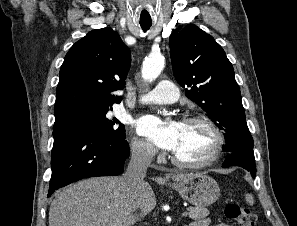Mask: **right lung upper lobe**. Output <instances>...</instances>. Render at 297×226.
Returning a JSON list of instances; mask_svg holds the SVG:
<instances>
[{"mask_svg": "<svg viewBox=\"0 0 297 226\" xmlns=\"http://www.w3.org/2000/svg\"><path fill=\"white\" fill-rule=\"evenodd\" d=\"M131 64L129 48L111 28L96 29L65 56L56 89L55 121L89 110H109L120 103Z\"/></svg>", "mask_w": 297, "mask_h": 226, "instance_id": "1", "label": "right lung upper lobe"}]
</instances>
